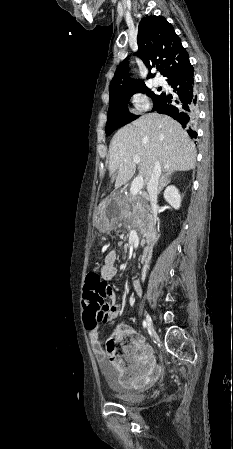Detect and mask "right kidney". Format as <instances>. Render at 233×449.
Instances as JSON below:
<instances>
[{
    "label": "right kidney",
    "mask_w": 233,
    "mask_h": 449,
    "mask_svg": "<svg viewBox=\"0 0 233 449\" xmlns=\"http://www.w3.org/2000/svg\"><path fill=\"white\" fill-rule=\"evenodd\" d=\"M164 199L174 208L179 209L181 206V196L179 194L178 189L170 185L164 191Z\"/></svg>",
    "instance_id": "1"
}]
</instances>
